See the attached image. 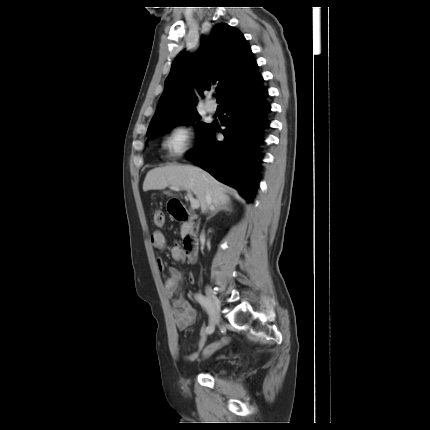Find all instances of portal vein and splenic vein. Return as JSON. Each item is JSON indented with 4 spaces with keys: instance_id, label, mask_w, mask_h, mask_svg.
Returning <instances> with one entry per match:
<instances>
[{
    "instance_id": "obj_1",
    "label": "portal vein and splenic vein",
    "mask_w": 430,
    "mask_h": 430,
    "mask_svg": "<svg viewBox=\"0 0 430 430\" xmlns=\"http://www.w3.org/2000/svg\"><path fill=\"white\" fill-rule=\"evenodd\" d=\"M171 189L176 190V191L180 190L179 187H171ZM188 197H189V200L191 203V208H193V209L199 208V206H200L199 201L193 198L191 192H188Z\"/></svg>"
}]
</instances>
